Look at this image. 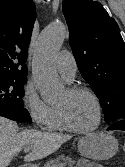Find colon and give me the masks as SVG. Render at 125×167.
Wrapping results in <instances>:
<instances>
[{
    "mask_svg": "<svg viewBox=\"0 0 125 167\" xmlns=\"http://www.w3.org/2000/svg\"><path fill=\"white\" fill-rule=\"evenodd\" d=\"M123 151H124V153H125V144L123 145Z\"/></svg>",
    "mask_w": 125,
    "mask_h": 167,
    "instance_id": "5ec220e1",
    "label": "colon"
}]
</instances>
